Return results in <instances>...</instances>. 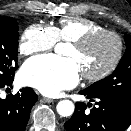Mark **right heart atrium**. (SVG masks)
<instances>
[{"label": "right heart atrium", "instance_id": "right-heart-atrium-1", "mask_svg": "<svg viewBox=\"0 0 131 131\" xmlns=\"http://www.w3.org/2000/svg\"><path fill=\"white\" fill-rule=\"evenodd\" d=\"M57 41L53 27L31 24L22 33L18 50L21 55H31L52 49Z\"/></svg>", "mask_w": 131, "mask_h": 131}]
</instances>
